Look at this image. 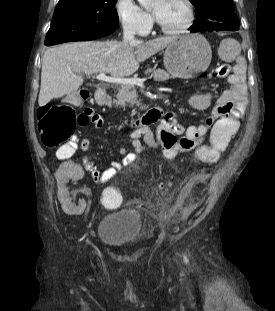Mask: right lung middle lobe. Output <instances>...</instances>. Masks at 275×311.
I'll use <instances>...</instances> for the list:
<instances>
[{"instance_id": "right-lung-middle-lobe-1", "label": "right lung middle lobe", "mask_w": 275, "mask_h": 311, "mask_svg": "<svg viewBox=\"0 0 275 311\" xmlns=\"http://www.w3.org/2000/svg\"><path fill=\"white\" fill-rule=\"evenodd\" d=\"M117 0H59L45 45L93 40L115 31Z\"/></svg>"}]
</instances>
